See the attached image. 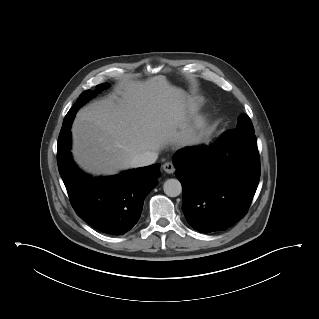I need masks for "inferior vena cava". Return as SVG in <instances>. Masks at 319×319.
I'll list each match as a JSON object with an SVG mask.
<instances>
[{
    "instance_id": "obj_1",
    "label": "inferior vena cava",
    "mask_w": 319,
    "mask_h": 319,
    "mask_svg": "<svg viewBox=\"0 0 319 319\" xmlns=\"http://www.w3.org/2000/svg\"><path fill=\"white\" fill-rule=\"evenodd\" d=\"M158 158V154L156 152H144L139 155H136L131 161H130V167L132 168H138V167H144L153 164Z\"/></svg>"
}]
</instances>
